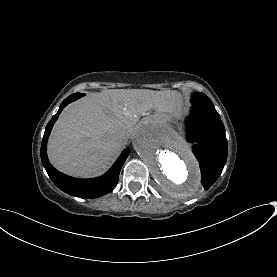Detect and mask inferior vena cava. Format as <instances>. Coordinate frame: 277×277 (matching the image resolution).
I'll list each match as a JSON object with an SVG mask.
<instances>
[{
    "mask_svg": "<svg viewBox=\"0 0 277 277\" xmlns=\"http://www.w3.org/2000/svg\"><path fill=\"white\" fill-rule=\"evenodd\" d=\"M117 135H118V138L123 142L125 141V139H127V136L125 133L118 132Z\"/></svg>",
    "mask_w": 277,
    "mask_h": 277,
    "instance_id": "obj_1",
    "label": "inferior vena cava"
}]
</instances>
